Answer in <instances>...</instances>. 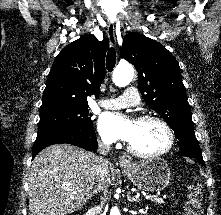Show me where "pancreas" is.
Segmentation results:
<instances>
[{
	"mask_svg": "<svg viewBox=\"0 0 221 215\" xmlns=\"http://www.w3.org/2000/svg\"><path fill=\"white\" fill-rule=\"evenodd\" d=\"M150 200L156 202L157 204H164L163 200H156V198H151Z\"/></svg>",
	"mask_w": 221,
	"mask_h": 215,
	"instance_id": "1",
	"label": "pancreas"
}]
</instances>
